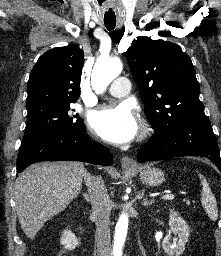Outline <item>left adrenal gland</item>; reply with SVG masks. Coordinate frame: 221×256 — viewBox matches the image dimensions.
I'll use <instances>...</instances> for the list:
<instances>
[{
	"mask_svg": "<svg viewBox=\"0 0 221 256\" xmlns=\"http://www.w3.org/2000/svg\"><path fill=\"white\" fill-rule=\"evenodd\" d=\"M143 195H144V191H142L141 193H139V200H141L143 198ZM154 202L153 199L151 200H148L147 198L143 199L142 201V205L143 206H146V207H149L150 205H152V203Z\"/></svg>",
	"mask_w": 221,
	"mask_h": 256,
	"instance_id": "obj_1",
	"label": "left adrenal gland"
}]
</instances>
